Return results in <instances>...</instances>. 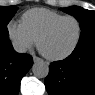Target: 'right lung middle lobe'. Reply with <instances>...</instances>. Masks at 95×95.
<instances>
[{"mask_svg": "<svg viewBox=\"0 0 95 95\" xmlns=\"http://www.w3.org/2000/svg\"><path fill=\"white\" fill-rule=\"evenodd\" d=\"M16 6H1L0 7V38L8 39L9 33L7 30V24L12 19L17 11Z\"/></svg>", "mask_w": 95, "mask_h": 95, "instance_id": "right-lung-middle-lobe-1", "label": "right lung middle lobe"}]
</instances>
